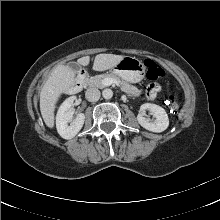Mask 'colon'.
Listing matches in <instances>:
<instances>
[{
  "mask_svg": "<svg viewBox=\"0 0 220 220\" xmlns=\"http://www.w3.org/2000/svg\"><path fill=\"white\" fill-rule=\"evenodd\" d=\"M145 68L147 78L150 80H157L164 76V69L153 60L147 59L145 60ZM166 105L169 113L177 114L180 107V97L177 94H171L168 96L166 100Z\"/></svg>",
  "mask_w": 220,
  "mask_h": 220,
  "instance_id": "obj_1",
  "label": "colon"
}]
</instances>
